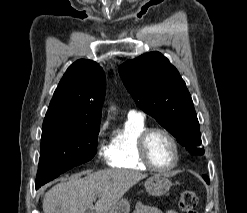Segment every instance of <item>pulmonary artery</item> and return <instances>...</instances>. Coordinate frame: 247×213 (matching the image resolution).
Wrapping results in <instances>:
<instances>
[{"instance_id":"obj_1","label":"pulmonary artery","mask_w":247,"mask_h":213,"mask_svg":"<svg viewBox=\"0 0 247 213\" xmlns=\"http://www.w3.org/2000/svg\"><path fill=\"white\" fill-rule=\"evenodd\" d=\"M128 117H133V118H143L144 114L140 111H136V110H131L128 113Z\"/></svg>"}]
</instances>
